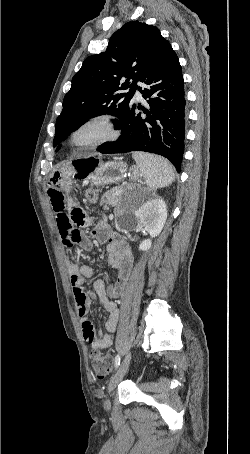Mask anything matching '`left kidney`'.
Instances as JSON below:
<instances>
[{"mask_svg": "<svg viewBox=\"0 0 250 454\" xmlns=\"http://www.w3.org/2000/svg\"><path fill=\"white\" fill-rule=\"evenodd\" d=\"M135 216L139 225L154 238L160 234L167 219V207L160 197L149 199L136 212ZM152 246L151 239L143 240L139 250L148 251Z\"/></svg>", "mask_w": 250, "mask_h": 454, "instance_id": "left-kidney-1", "label": "left kidney"}]
</instances>
